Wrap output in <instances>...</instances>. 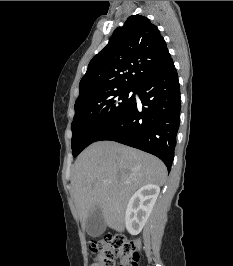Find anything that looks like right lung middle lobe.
<instances>
[{
  "label": "right lung middle lobe",
  "mask_w": 233,
  "mask_h": 266,
  "mask_svg": "<svg viewBox=\"0 0 233 266\" xmlns=\"http://www.w3.org/2000/svg\"><path fill=\"white\" fill-rule=\"evenodd\" d=\"M135 88H119L93 94L76 101L72 122V153L77 156L84 148L95 142L135 100L129 96Z\"/></svg>",
  "instance_id": "1"
}]
</instances>
